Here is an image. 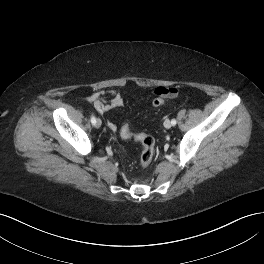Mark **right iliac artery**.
<instances>
[{
    "label": "right iliac artery",
    "instance_id": "right-iliac-artery-1",
    "mask_svg": "<svg viewBox=\"0 0 264 264\" xmlns=\"http://www.w3.org/2000/svg\"><path fill=\"white\" fill-rule=\"evenodd\" d=\"M91 123H92L93 125L96 124V118H95L94 116L91 117Z\"/></svg>",
    "mask_w": 264,
    "mask_h": 264
}]
</instances>
